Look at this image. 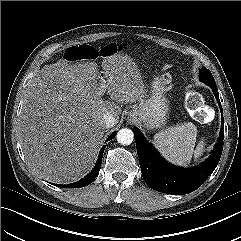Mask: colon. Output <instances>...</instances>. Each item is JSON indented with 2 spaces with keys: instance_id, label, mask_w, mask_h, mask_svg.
<instances>
[{
  "instance_id": "colon-1",
  "label": "colon",
  "mask_w": 241,
  "mask_h": 241,
  "mask_svg": "<svg viewBox=\"0 0 241 241\" xmlns=\"http://www.w3.org/2000/svg\"><path fill=\"white\" fill-rule=\"evenodd\" d=\"M117 51V46L110 44L101 49L89 45L74 46L66 50L65 58L69 61L95 59L98 56H108ZM186 107L189 112L200 121L210 120V109L204 104L199 93H189L186 98Z\"/></svg>"
}]
</instances>
